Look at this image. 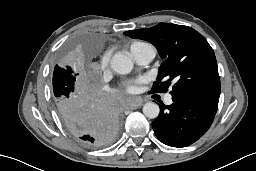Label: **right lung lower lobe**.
<instances>
[{"instance_id": "98d812e1", "label": "right lung lower lobe", "mask_w": 256, "mask_h": 171, "mask_svg": "<svg viewBox=\"0 0 256 171\" xmlns=\"http://www.w3.org/2000/svg\"><path fill=\"white\" fill-rule=\"evenodd\" d=\"M58 113L70 134L86 147L109 144L121 125L118 105L93 88L85 90Z\"/></svg>"}]
</instances>
